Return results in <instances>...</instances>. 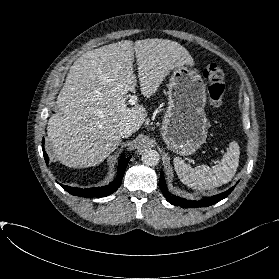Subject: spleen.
Returning a JSON list of instances; mask_svg holds the SVG:
<instances>
[{
    "mask_svg": "<svg viewBox=\"0 0 279 279\" xmlns=\"http://www.w3.org/2000/svg\"><path fill=\"white\" fill-rule=\"evenodd\" d=\"M239 145L231 142L220 164L213 167L199 165L192 168L179 159H174L176 173L183 184L195 190H209L232 180L239 164Z\"/></svg>",
    "mask_w": 279,
    "mask_h": 279,
    "instance_id": "1",
    "label": "spleen"
}]
</instances>
